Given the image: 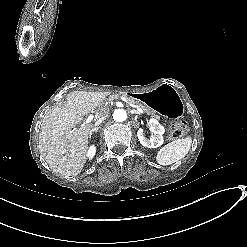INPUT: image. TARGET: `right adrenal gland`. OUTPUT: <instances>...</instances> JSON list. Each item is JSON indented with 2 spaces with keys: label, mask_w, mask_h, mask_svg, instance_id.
<instances>
[{
  "label": "right adrenal gland",
  "mask_w": 247,
  "mask_h": 247,
  "mask_svg": "<svg viewBox=\"0 0 247 247\" xmlns=\"http://www.w3.org/2000/svg\"><path fill=\"white\" fill-rule=\"evenodd\" d=\"M99 128L100 127H97V128H92V130H91V133L89 134V138L91 139L92 138V135L94 134V133H97L98 132V130H99Z\"/></svg>",
  "instance_id": "1"
}]
</instances>
